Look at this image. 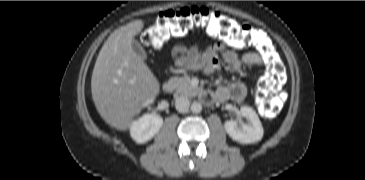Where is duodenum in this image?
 Returning a JSON list of instances; mask_svg holds the SVG:
<instances>
[{"mask_svg":"<svg viewBox=\"0 0 365 180\" xmlns=\"http://www.w3.org/2000/svg\"><path fill=\"white\" fill-rule=\"evenodd\" d=\"M163 91L166 93L173 92L175 85L174 82L171 80H166L162 84ZM212 94L209 91H202L200 93V99L203 103H210L212 101Z\"/></svg>","mask_w":365,"mask_h":180,"instance_id":"410a0bca","label":"duodenum"}]
</instances>
